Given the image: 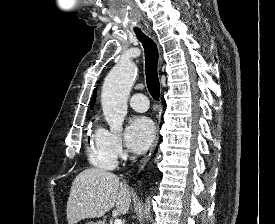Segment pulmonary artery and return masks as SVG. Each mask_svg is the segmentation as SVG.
I'll use <instances>...</instances> for the list:
<instances>
[{
    "label": "pulmonary artery",
    "mask_w": 275,
    "mask_h": 224,
    "mask_svg": "<svg viewBox=\"0 0 275 224\" xmlns=\"http://www.w3.org/2000/svg\"><path fill=\"white\" fill-rule=\"evenodd\" d=\"M129 103L131 107L138 112H145L149 107L148 98L143 94H135L133 95Z\"/></svg>",
    "instance_id": "obj_1"
}]
</instances>
